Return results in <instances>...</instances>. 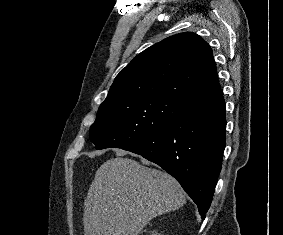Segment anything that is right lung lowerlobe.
<instances>
[{
  "label": "right lung lower lobe",
  "instance_id": "98d812e1",
  "mask_svg": "<svg viewBox=\"0 0 283 235\" xmlns=\"http://www.w3.org/2000/svg\"><path fill=\"white\" fill-rule=\"evenodd\" d=\"M225 132V101L219 87L187 100L166 128L123 149L175 177L204 219L221 171Z\"/></svg>",
  "mask_w": 283,
  "mask_h": 235
}]
</instances>
